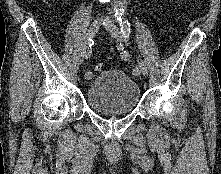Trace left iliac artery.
<instances>
[{
	"instance_id": "left-iliac-artery-1",
	"label": "left iliac artery",
	"mask_w": 221,
	"mask_h": 174,
	"mask_svg": "<svg viewBox=\"0 0 221 174\" xmlns=\"http://www.w3.org/2000/svg\"><path fill=\"white\" fill-rule=\"evenodd\" d=\"M120 27H121V32L123 33V35L125 37H129V35H130V23L128 22V20H120ZM120 56L125 61L130 58V55L127 51H122ZM134 73L135 74L140 73L139 69L138 68L135 69Z\"/></svg>"
}]
</instances>
